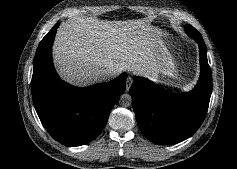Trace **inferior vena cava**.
Masks as SVG:
<instances>
[{
  "mask_svg": "<svg viewBox=\"0 0 237 169\" xmlns=\"http://www.w3.org/2000/svg\"><path fill=\"white\" fill-rule=\"evenodd\" d=\"M118 74L119 71L117 69L110 68L102 70L100 76L103 81H107L115 78Z\"/></svg>",
  "mask_w": 237,
  "mask_h": 169,
  "instance_id": "1",
  "label": "inferior vena cava"
}]
</instances>
